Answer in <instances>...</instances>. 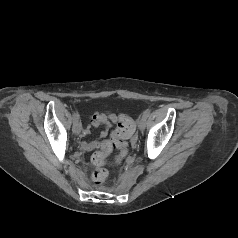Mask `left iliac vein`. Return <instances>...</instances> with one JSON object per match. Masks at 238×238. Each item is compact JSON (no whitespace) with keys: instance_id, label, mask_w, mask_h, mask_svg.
Here are the masks:
<instances>
[{"instance_id":"4c4485c4","label":"left iliac vein","mask_w":238,"mask_h":238,"mask_svg":"<svg viewBox=\"0 0 238 238\" xmlns=\"http://www.w3.org/2000/svg\"><path fill=\"white\" fill-rule=\"evenodd\" d=\"M145 124H146V119L145 118H140L138 122V127L141 131L145 129Z\"/></svg>"}]
</instances>
